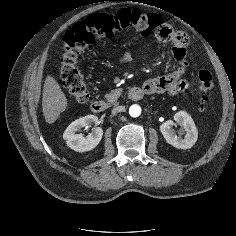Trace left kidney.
<instances>
[{"instance_id": "obj_1", "label": "left kidney", "mask_w": 236, "mask_h": 236, "mask_svg": "<svg viewBox=\"0 0 236 236\" xmlns=\"http://www.w3.org/2000/svg\"><path fill=\"white\" fill-rule=\"evenodd\" d=\"M176 124L182 127V131L179 135L176 134L173 129L175 123L168 120L160 125V131L164 136L167 143L171 144L178 149H189L197 141L198 132L191 116L185 111H179L174 115ZM185 132V136L181 135Z\"/></svg>"}]
</instances>
